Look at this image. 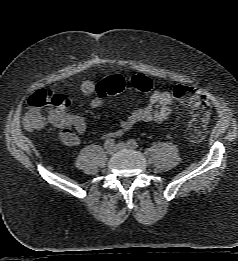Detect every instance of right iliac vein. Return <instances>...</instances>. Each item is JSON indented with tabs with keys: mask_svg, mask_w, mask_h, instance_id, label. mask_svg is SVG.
<instances>
[{
	"mask_svg": "<svg viewBox=\"0 0 238 261\" xmlns=\"http://www.w3.org/2000/svg\"><path fill=\"white\" fill-rule=\"evenodd\" d=\"M115 151H116V147L115 146H111V147L106 148V153L108 155H113L115 153Z\"/></svg>",
	"mask_w": 238,
	"mask_h": 261,
	"instance_id": "1",
	"label": "right iliac vein"
}]
</instances>
